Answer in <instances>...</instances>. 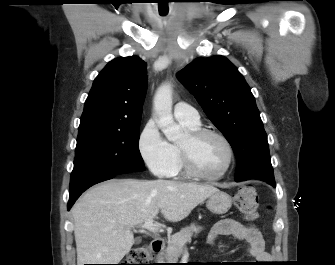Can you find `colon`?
Listing matches in <instances>:
<instances>
[{"label":"colon","mask_w":335,"mask_h":265,"mask_svg":"<svg viewBox=\"0 0 335 265\" xmlns=\"http://www.w3.org/2000/svg\"><path fill=\"white\" fill-rule=\"evenodd\" d=\"M234 203L240 212L248 220L257 217L258 198L255 189L251 185L242 186L234 196ZM151 250L148 246L142 245L134 248L123 265H150Z\"/></svg>","instance_id":"colon-1"}]
</instances>
